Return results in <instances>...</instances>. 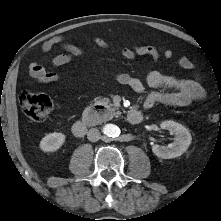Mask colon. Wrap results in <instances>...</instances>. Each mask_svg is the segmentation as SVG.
I'll return each instance as SVG.
<instances>
[{
  "label": "colon",
  "mask_w": 221,
  "mask_h": 221,
  "mask_svg": "<svg viewBox=\"0 0 221 221\" xmlns=\"http://www.w3.org/2000/svg\"><path fill=\"white\" fill-rule=\"evenodd\" d=\"M19 102L25 115L38 123L45 122L49 118L53 107L48 96L30 91H23L20 94ZM207 121L213 125L221 124L220 113L215 109H211L207 114Z\"/></svg>",
  "instance_id": "1"
}]
</instances>
